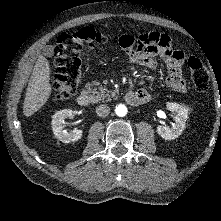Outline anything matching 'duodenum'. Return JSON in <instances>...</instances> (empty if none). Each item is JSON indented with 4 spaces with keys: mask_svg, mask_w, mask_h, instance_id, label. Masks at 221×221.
Returning <instances> with one entry per match:
<instances>
[{
    "mask_svg": "<svg viewBox=\"0 0 221 221\" xmlns=\"http://www.w3.org/2000/svg\"><path fill=\"white\" fill-rule=\"evenodd\" d=\"M126 101L131 105L143 104L147 99L138 91H129L125 95ZM77 103L80 106H89L91 104L90 95L87 92H81L77 97Z\"/></svg>",
    "mask_w": 221,
    "mask_h": 221,
    "instance_id": "410a0bca",
    "label": "duodenum"
}]
</instances>
